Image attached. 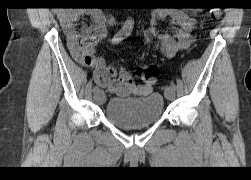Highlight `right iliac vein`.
I'll use <instances>...</instances> for the list:
<instances>
[{
    "mask_svg": "<svg viewBox=\"0 0 251 180\" xmlns=\"http://www.w3.org/2000/svg\"><path fill=\"white\" fill-rule=\"evenodd\" d=\"M94 100L97 104L101 105L105 101V94L102 90H99L97 93L94 94Z\"/></svg>",
    "mask_w": 251,
    "mask_h": 180,
    "instance_id": "1",
    "label": "right iliac vein"
}]
</instances>
